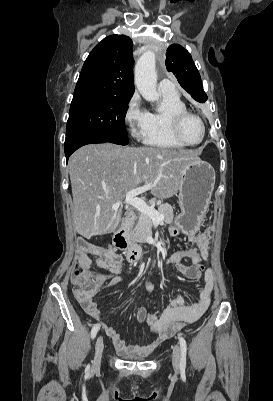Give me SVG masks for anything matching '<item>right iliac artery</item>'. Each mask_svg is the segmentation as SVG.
Instances as JSON below:
<instances>
[{"label":"right iliac artery","instance_id":"right-iliac-artery-1","mask_svg":"<svg viewBox=\"0 0 273 401\" xmlns=\"http://www.w3.org/2000/svg\"><path fill=\"white\" fill-rule=\"evenodd\" d=\"M99 328H100V324H98V323L95 324V325L92 327V330H91V337H92V339L95 338V336H96V334H97ZM87 369H90V365L87 366Z\"/></svg>","mask_w":273,"mask_h":401}]
</instances>
